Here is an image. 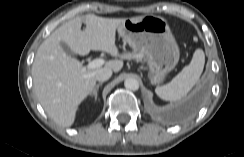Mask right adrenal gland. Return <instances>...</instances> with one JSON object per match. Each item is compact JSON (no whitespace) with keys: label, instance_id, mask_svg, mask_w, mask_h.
I'll return each mask as SVG.
<instances>
[{"label":"right adrenal gland","instance_id":"1","mask_svg":"<svg viewBox=\"0 0 244 157\" xmlns=\"http://www.w3.org/2000/svg\"><path fill=\"white\" fill-rule=\"evenodd\" d=\"M103 84V82H100L96 85V87L93 89L92 93H91V97H94V100H97V94H98V90L99 87Z\"/></svg>","mask_w":244,"mask_h":157}]
</instances>
